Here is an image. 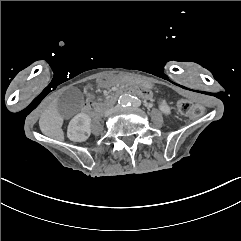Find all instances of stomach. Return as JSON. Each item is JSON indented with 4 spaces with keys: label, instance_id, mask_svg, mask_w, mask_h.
Returning <instances> with one entry per match:
<instances>
[{
    "label": "stomach",
    "instance_id": "1",
    "mask_svg": "<svg viewBox=\"0 0 241 241\" xmlns=\"http://www.w3.org/2000/svg\"><path fill=\"white\" fill-rule=\"evenodd\" d=\"M116 81L120 82V83L137 84V85H141V86H145V87H151L152 86V83L149 82L148 80H145V79H135V78H132V77L121 76V77H118L116 79Z\"/></svg>",
    "mask_w": 241,
    "mask_h": 241
}]
</instances>
